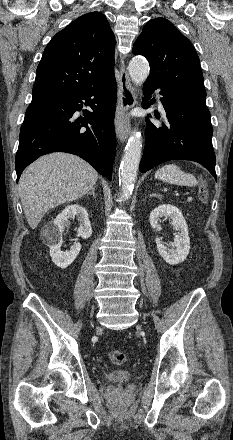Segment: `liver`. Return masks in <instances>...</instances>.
<instances>
[{
    "instance_id": "liver-1",
    "label": "liver",
    "mask_w": 233,
    "mask_h": 440,
    "mask_svg": "<svg viewBox=\"0 0 233 440\" xmlns=\"http://www.w3.org/2000/svg\"><path fill=\"white\" fill-rule=\"evenodd\" d=\"M97 179V171L76 155L57 152L37 159L19 180V195L29 226L35 229L49 209L87 194Z\"/></svg>"
}]
</instances>
